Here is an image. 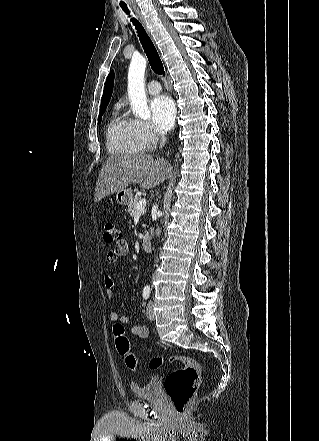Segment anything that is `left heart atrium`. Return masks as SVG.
Wrapping results in <instances>:
<instances>
[{
    "label": "left heart atrium",
    "mask_w": 319,
    "mask_h": 441,
    "mask_svg": "<svg viewBox=\"0 0 319 441\" xmlns=\"http://www.w3.org/2000/svg\"><path fill=\"white\" fill-rule=\"evenodd\" d=\"M152 124L160 133L168 132L175 120V105L171 98L166 95L154 97L150 102Z\"/></svg>",
    "instance_id": "39dd6f15"
}]
</instances>
